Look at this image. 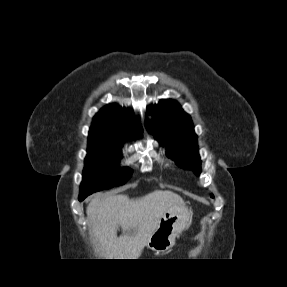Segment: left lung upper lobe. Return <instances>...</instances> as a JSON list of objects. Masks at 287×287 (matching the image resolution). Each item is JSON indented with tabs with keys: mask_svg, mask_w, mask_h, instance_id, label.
Returning <instances> with one entry per match:
<instances>
[{
	"mask_svg": "<svg viewBox=\"0 0 287 287\" xmlns=\"http://www.w3.org/2000/svg\"><path fill=\"white\" fill-rule=\"evenodd\" d=\"M148 112L153 118L146 121L147 130L167 146V156L181 167L189 168L199 175L201 160L190 116L176 101L171 100H161L158 105L149 108ZM211 197H214L213 194Z\"/></svg>",
	"mask_w": 287,
	"mask_h": 287,
	"instance_id": "obj_1",
	"label": "left lung upper lobe"
}]
</instances>
